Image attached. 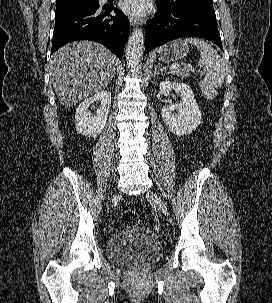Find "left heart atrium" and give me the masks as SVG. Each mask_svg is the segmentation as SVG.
<instances>
[{
  "label": "left heart atrium",
  "instance_id": "1",
  "mask_svg": "<svg viewBox=\"0 0 272 303\" xmlns=\"http://www.w3.org/2000/svg\"><path fill=\"white\" fill-rule=\"evenodd\" d=\"M120 7L127 14L141 15L147 10L148 0H123Z\"/></svg>",
  "mask_w": 272,
  "mask_h": 303
}]
</instances>
